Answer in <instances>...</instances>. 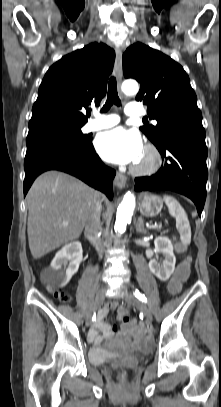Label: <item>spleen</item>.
<instances>
[{
    "mask_svg": "<svg viewBox=\"0 0 221 407\" xmlns=\"http://www.w3.org/2000/svg\"><path fill=\"white\" fill-rule=\"evenodd\" d=\"M163 199L171 216L176 219V228L180 233L181 242L188 245L191 242V227L186 212L180 203L172 196L164 195Z\"/></svg>",
    "mask_w": 221,
    "mask_h": 407,
    "instance_id": "spleen-1",
    "label": "spleen"
}]
</instances>
